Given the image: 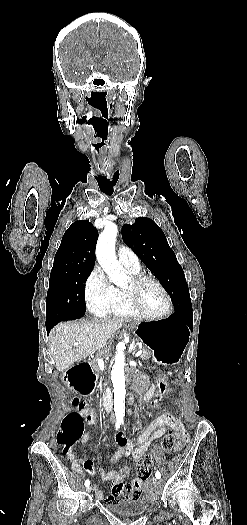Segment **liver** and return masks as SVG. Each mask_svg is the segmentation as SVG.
I'll use <instances>...</instances> for the list:
<instances>
[{
    "label": "liver",
    "instance_id": "liver-1",
    "mask_svg": "<svg viewBox=\"0 0 247 525\" xmlns=\"http://www.w3.org/2000/svg\"><path fill=\"white\" fill-rule=\"evenodd\" d=\"M122 323L114 319H76L58 323L50 331L48 347L57 371H65L96 351H103L108 339L122 327Z\"/></svg>",
    "mask_w": 247,
    "mask_h": 525
}]
</instances>
